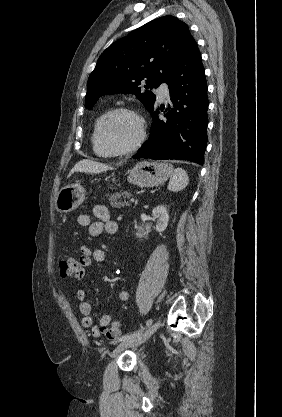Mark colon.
Segmentation results:
<instances>
[{"label": "colon", "instance_id": "1", "mask_svg": "<svg viewBox=\"0 0 282 417\" xmlns=\"http://www.w3.org/2000/svg\"><path fill=\"white\" fill-rule=\"evenodd\" d=\"M60 274L63 277L79 276L84 271V266H75L74 257H62L59 263ZM107 339L116 340L122 339L123 332L120 330V323L118 321L112 322L106 332Z\"/></svg>", "mask_w": 282, "mask_h": 417}]
</instances>
